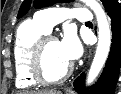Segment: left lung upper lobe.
<instances>
[{"mask_svg": "<svg viewBox=\"0 0 121 94\" xmlns=\"http://www.w3.org/2000/svg\"><path fill=\"white\" fill-rule=\"evenodd\" d=\"M67 1H70V0H24L19 9L18 18L25 15L32 4L35 8H42V7L53 5L55 3L67 2ZM101 1L107 13L113 7H115L116 5H119L118 0H101Z\"/></svg>", "mask_w": 121, "mask_h": 94, "instance_id": "5c2ea615", "label": "left lung upper lobe"}]
</instances>
